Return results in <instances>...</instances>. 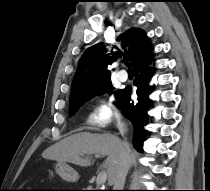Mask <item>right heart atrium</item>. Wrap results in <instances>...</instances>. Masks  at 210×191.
<instances>
[{"label":"right heart atrium","instance_id":"1","mask_svg":"<svg viewBox=\"0 0 210 191\" xmlns=\"http://www.w3.org/2000/svg\"><path fill=\"white\" fill-rule=\"evenodd\" d=\"M117 115L112 98L100 101L92 110L89 120L92 124L106 126Z\"/></svg>","mask_w":210,"mask_h":191}]
</instances>
